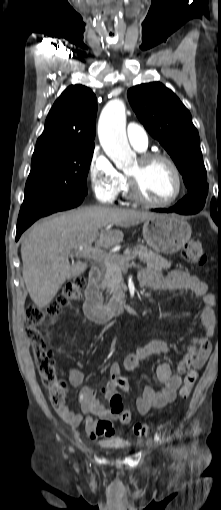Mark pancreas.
<instances>
[{"instance_id": "1", "label": "pancreas", "mask_w": 221, "mask_h": 510, "mask_svg": "<svg viewBox=\"0 0 221 510\" xmlns=\"http://www.w3.org/2000/svg\"><path fill=\"white\" fill-rule=\"evenodd\" d=\"M135 256L147 265L148 268L156 271L167 270L171 267V262L163 258L158 253L149 250L146 246L138 244L133 250L126 249L123 255L114 254L110 264L104 263L102 267V287H106L108 291L117 293L119 292L122 283V272L126 271L129 267L126 259Z\"/></svg>"}]
</instances>
